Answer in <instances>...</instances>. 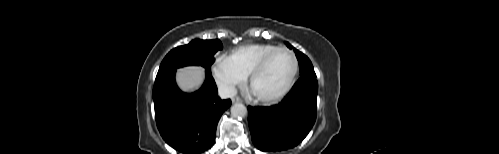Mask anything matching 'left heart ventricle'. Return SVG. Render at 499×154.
Instances as JSON below:
<instances>
[{
    "label": "left heart ventricle",
    "mask_w": 499,
    "mask_h": 154,
    "mask_svg": "<svg viewBox=\"0 0 499 154\" xmlns=\"http://www.w3.org/2000/svg\"><path fill=\"white\" fill-rule=\"evenodd\" d=\"M293 70V60L285 52L275 54L265 70L253 81L251 91L260 97L279 93L288 82Z\"/></svg>",
    "instance_id": "b2bd125f"
}]
</instances>
